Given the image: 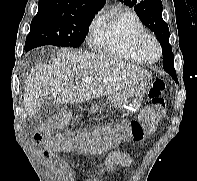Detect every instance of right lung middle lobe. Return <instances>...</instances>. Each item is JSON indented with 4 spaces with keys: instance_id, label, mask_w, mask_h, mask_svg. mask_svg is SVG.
Instances as JSON below:
<instances>
[{
    "instance_id": "obj_1",
    "label": "right lung middle lobe",
    "mask_w": 197,
    "mask_h": 181,
    "mask_svg": "<svg viewBox=\"0 0 197 181\" xmlns=\"http://www.w3.org/2000/svg\"><path fill=\"white\" fill-rule=\"evenodd\" d=\"M94 16L95 13L71 16L38 11L32 19L25 49L43 45L78 47L84 42Z\"/></svg>"
}]
</instances>
